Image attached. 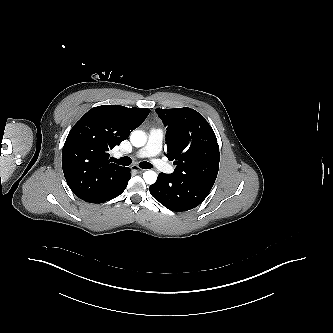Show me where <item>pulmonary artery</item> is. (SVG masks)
<instances>
[{
    "mask_svg": "<svg viewBox=\"0 0 333 333\" xmlns=\"http://www.w3.org/2000/svg\"><path fill=\"white\" fill-rule=\"evenodd\" d=\"M164 131L161 128H152L148 135L147 144L135 153L137 158H149L151 164L158 170L165 173H172L174 168L157 157L162 148Z\"/></svg>",
    "mask_w": 333,
    "mask_h": 333,
    "instance_id": "pulmonary-artery-1",
    "label": "pulmonary artery"
}]
</instances>
